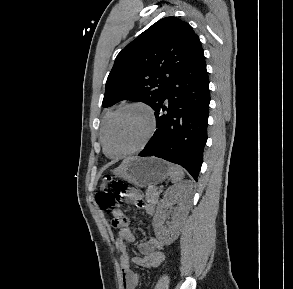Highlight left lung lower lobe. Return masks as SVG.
Wrapping results in <instances>:
<instances>
[{
    "label": "left lung lower lobe",
    "mask_w": 293,
    "mask_h": 289,
    "mask_svg": "<svg viewBox=\"0 0 293 289\" xmlns=\"http://www.w3.org/2000/svg\"><path fill=\"white\" fill-rule=\"evenodd\" d=\"M209 102V80L202 51L167 85L153 107L157 129L139 156H156L179 164L197 180L207 141Z\"/></svg>",
    "instance_id": "1"
}]
</instances>
